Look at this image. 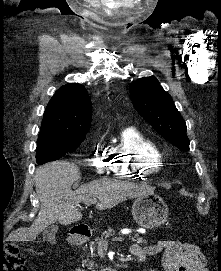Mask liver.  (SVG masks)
<instances>
[{"label": "liver", "instance_id": "1", "mask_svg": "<svg viewBox=\"0 0 221 271\" xmlns=\"http://www.w3.org/2000/svg\"><path fill=\"white\" fill-rule=\"evenodd\" d=\"M79 177V167L71 161H49L37 167L34 179L40 211L30 227L14 231V241H33L55 221L63 225L79 221L82 213L78 205L80 201H89L90 197H98L95 205L97 209H110L120 201H125L126 197H139L140 193H146L135 183L109 177L94 179L72 191V185Z\"/></svg>", "mask_w": 221, "mask_h": 271}]
</instances>
